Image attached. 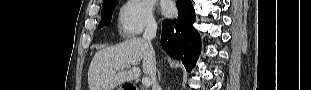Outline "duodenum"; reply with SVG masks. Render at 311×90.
I'll return each instance as SVG.
<instances>
[{"label": "duodenum", "instance_id": "1", "mask_svg": "<svg viewBox=\"0 0 311 90\" xmlns=\"http://www.w3.org/2000/svg\"><path fill=\"white\" fill-rule=\"evenodd\" d=\"M126 90H139V89L134 85H130L126 88Z\"/></svg>", "mask_w": 311, "mask_h": 90}]
</instances>
